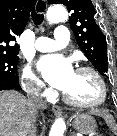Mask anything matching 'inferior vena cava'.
<instances>
[{
    "label": "inferior vena cava",
    "mask_w": 117,
    "mask_h": 136,
    "mask_svg": "<svg viewBox=\"0 0 117 136\" xmlns=\"http://www.w3.org/2000/svg\"><path fill=\"white\" fill-rule=\"evenodd\" d=\"M28 101L34 109L29 113V124L27 136H38V122H39V113L41 109L47 108V102L39 93H32L28 97Z\"/></svg>",
    "instance_id": "inferior-vena-cava-1"
}]
</instances>
